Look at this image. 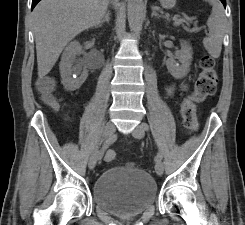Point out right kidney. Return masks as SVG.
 Here are the masks:
<instances>
[{
	"mask_svg": "<svg viewBox=\"0 0 245 225\" xmlns=\"http://www.w3.org/2000/svg\"><path fill=\"white\" fill-rule=\"evenodd\" d=\"M81 52V45L78 41H72L65 48L59 64L61 82L66 90L75 91L81 87L88 77L87 70L82 71L81 62L76 56ZM74 63H76L74 65Z\"/></svg>",
	"mask_w": 245,
	"mask_h": 225,
	"instance_id": "obj_1",
	"label": "right kidney"
}]
</instances>
